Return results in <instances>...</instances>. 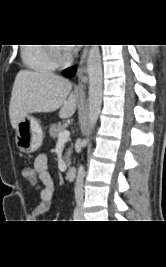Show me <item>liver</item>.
<instances>
[{
  "label": "liver",
  "instance_id": "1",
  "mask_svg": "<svg viewBox=\"0 0 166 267\" xmlns=\"http://www.w3.org/2000/svg\"><path fill=\"white\" fill-rule=\"evenodd\" d=\"M71 90V82L54 73L19 71L9 105L12 127L16 129L30 113H49L60 109V118L71 117L77 107V97Z\"/></svg>",
  "mask_w": 166,
  "mask_h": 267
}]
</instances>
